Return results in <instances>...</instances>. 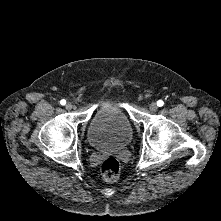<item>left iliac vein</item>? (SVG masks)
Here are the masks:
<instances>
[{"instance_id": "obj_1", "label": "left iliac vein", "mask_w": 221, "mask_h": 221, "mask_svg": "<svg viewBox=\"0 0 221 221\" xmlns=\"http://www.w3.org/2000/svg\"><path fill=\"white\" fill-rule=\"evenodd\" d=\"M149 109L154 112V111H156L158 109V106H157V104L155 102H152L149 105Z\"/></svg>"}]
</instances>
